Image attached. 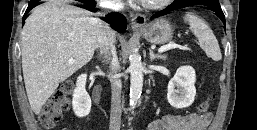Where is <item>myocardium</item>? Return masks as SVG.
Returning a JSON list of instances; mask_svg holds the SVG:
<instances>
[{
    "label": "myocardium",
    "instance_id": "myocardium-1",
    "mask_svg": "<svg viewBox=\"0 0 257 130\" xmlns=\"http://www.w3.org/2000/svg\"><path fill=\"white\" fill-rule=\"evenodd\" d=\"M172 0H155L152 2L146 1L143 6L150 10H157L167 6Z\"/></svg>",
    "mask_w": 257,
    "mask_h": 130
}]
</instances>
